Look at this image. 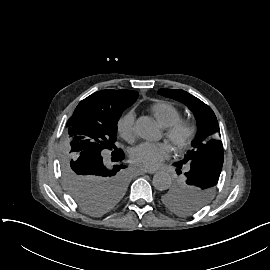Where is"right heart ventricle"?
<instances>
[{"label": "right heart ventricle", "mask_w": 270, "mask_h": 270, "mask_svg": "<svg viewBox=\"0 0 270 270\" xmlns=\"http://www.w3.org/2000/svg\"><path fill=\"white\" fill-rule=\"evenodd\" d=\"M150 112L163 129H171L183 115L179 108L164 100H158L152 104Z\"/></svg>", "instance_id": "obj_1"}]
</instances>
